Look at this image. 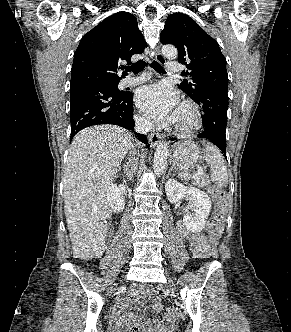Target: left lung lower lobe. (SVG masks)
Returning <instances> with one entry per match:
<instances>
[{"instance_id":"0a47b994","label":"left lung lower lobe","mask_w":291,"mask_h":332,"mask_svg":"<svg viewBox=\"0 0 291 332\" xmlns=\"http://www.w3.org/2000/svg\"><path fill=\"white\" fill-rule=\"evenodd\" d=\"M202 107L204 131L198 137L205 138L216 145L226 156V125L228 94L223 92H207L193 99ZM172 138L171 140H175Z\"/></svg>"}]
</instances>
